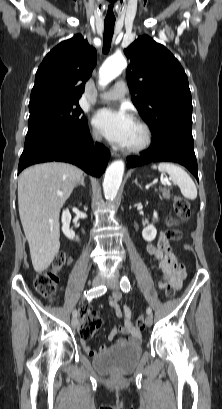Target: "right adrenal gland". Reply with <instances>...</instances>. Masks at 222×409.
<instances>
[{"label":"right adrenal gland","instance_id":"obj_1","mask_svg":"<svg viewBox=\"0 0 222 409\" xmlns=\"http://www.w3.org/2000/svg\"><path fill=\"white\" fill-rule=\"evenodd\" d=\"M80 185L83 186V187H85L84 177L81 178V180L76 184L75 187L77 188V187L80 186Z\"/></svg>","mask_w":222,"mask_h":409}]
</instances>
